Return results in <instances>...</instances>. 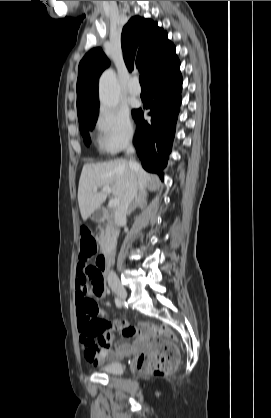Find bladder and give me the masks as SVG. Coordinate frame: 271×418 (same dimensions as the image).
Segmentation results:
<instances>
[{"label":"bladder","instance_id":"obj_1","mask_svg":"<svg viewBox=\"0 0 271 418\" xmlns=\"http://www.w3.org/2000/svg\"><path fill=\"white\" fill-rule=\"evenodd\" d=\"M100 371L110 375H120L123 372V364L121 361H111L103 365Z\"/></svg>","mask_w":271,"mask_h":418}]
</instances>
